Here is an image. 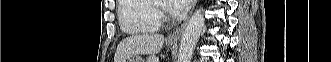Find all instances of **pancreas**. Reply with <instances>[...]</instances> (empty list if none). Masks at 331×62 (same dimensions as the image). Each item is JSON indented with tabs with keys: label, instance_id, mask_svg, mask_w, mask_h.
<instances>
[{
	"label": "pancreas",
	"instance_id": "obj_1",
	"mask_svg": "<svg viewBox=\"0 0 331 62\" xmlns=\"http://www.w3.org/2000/svg\"><path fill=\"white\" fill-rule=\"evenodd\" d=\"M158 61V58H156L155 56H150L148 59H147V62H157Z\"/></svg>",
	"mask_w": 331,
	"mask_h": 62
}]
</instances>
